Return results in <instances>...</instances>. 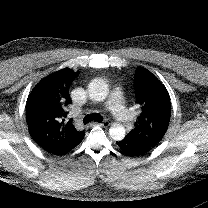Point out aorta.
Returning a JSON list of instances; mask_svg holds the SVG:
<instances>
[{
	"label": "aorta",
	"mask_w": 208,
	"mask_h": 208,
	"mask_svg": "<svg viewBox=\"0 0 208 208\" xmlns=\"http://www.w3.org/2000/svg\"><path fill=\"white\" fill-rule=\"evenodd\" d=\"M109 88L107 83L100 78L94 79L88 86V93L92 100L100 102L107 98ZM109 135L114 140H122L125 137V128L115 124L109 129Z\"/></svg>",
	"instance_id": "aorta-1"
}]
</instances>
